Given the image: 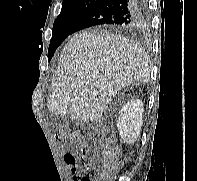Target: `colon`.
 I'll return each mask as SVG.
<instances>
[{"label":"colon","mask_w":197,"mask_h":181,"mask_svg":"<svg viewBox=\"0 0 197 181\" xmlns=\"http://www.w3.org/2000/svg\"><path fill=\"white\" fill-rule=\"evenodd\" d=\"M93 134V129H89ZM62 138V136H60ZM81 160L85 166L83 175L78 181H110L118 169V159L114 149L97 151L92 156L83 150Z\"/></svg>","instance_id":"5ec220e1"}]
</instances>
